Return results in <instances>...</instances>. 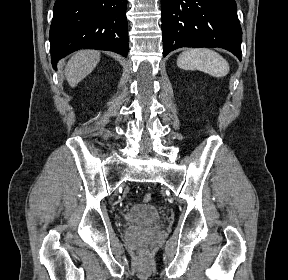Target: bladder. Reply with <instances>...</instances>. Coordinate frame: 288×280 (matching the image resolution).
I'll return each instance as SVG.
<instances>
[{"mask_svg": "<svg viewBox=\"0 0 288 280\" xmlns=\"http://www.w3.org/2000/svg\"><path fill=\"white\" fill-rule=\"evenodd\" d=\"M124 218L136 225L149 226L160 219V212L152 205L133 204L124 213Z\"/></svg>", "mask_w": 288, "mask_h": 280, "instance_id": "bladder-1", "label": "bladder"}]
</instances>
